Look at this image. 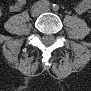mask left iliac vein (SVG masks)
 Returning a JSON list of instances; mask_svg holds the SVG:
<instances>
[{"mask_svg":"<svg viewBox=\"0 0 91 91\" xmlns=\"http://www.w3.org/2000/svg\"><path fill=\"white\" fill-rule=\"evenodd\" d=\"M48 11H50V7H45L42 9V12H48Z\"/></svg>","mask_w":91,"mask_h":91,"instance_id":"1","label":"left iliac vein"}]
</instances>
